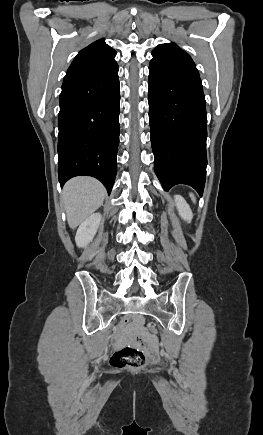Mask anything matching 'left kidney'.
<instances>
[{
    "label": "left kidney",
    "instance_id": "obj_1",
    "mask_svg": "<svg viewBox=\"0 0 263 435\" xmlns=\"http://www.w3.org/2000/svg\"><path fill=\"white\" fill-rule=\"evenodd\" d=\"M174 199L179 215L182 217V219L190 223L193 217L190 206L187 204L185 199L180 195H175Z\"/></svg>",
    "mask_w": 263,
    "mask_h": 435
}]
</instances>
